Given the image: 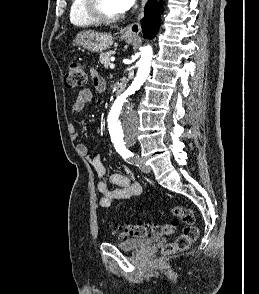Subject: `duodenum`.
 Instances as JSON below:
<instances>
[{"label":"duodenum","instance_id":"410a0bca","mask_svg":"<svg viewBox=\"0 0 259 294\" xmlns=\"http://www.w3.org/2000/svg\"><path fill=\"white\" fill-rule=\"evenodd\" d=\"M127 86V81L125 79H120L114 85V94L119 97Z\"/></svg>","mask_w":259,"mask_h":294}]
</instances>
